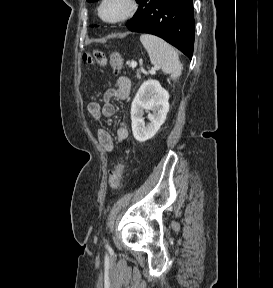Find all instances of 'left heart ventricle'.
I'll return each mask as SVG.
<instances>
[{"label": "left heart ventricle", "mask_w": 273, "mask_h": 288, "mask_svg": "<svg viewBox=\"0 0 273 288\" xmlns=\"http://www.w3.org/2000/svg\"><path fill=\"white\" fill-rule=\"evenodd\" d=\"M126 8L122 0H109L102 9V15L106 18H114L120 15Z\"/></svg>", "instance_id": "b2bd125f"}]
</instances>
